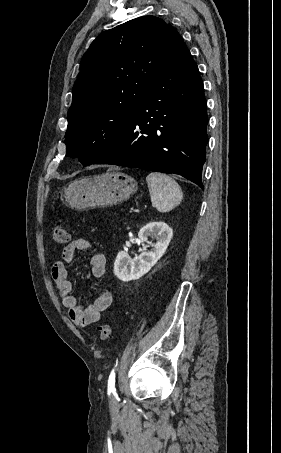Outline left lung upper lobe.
Listing matches in <instances>:
<instances>
[{
  "mask_svg": "<svg viewBox=\"0 0 281 453\" xmlns=\"http://www.w3.org/2000/svg\"><path fill=\"white\" fill-rule=\"evenodd\" d=\"M177 36L162 19L143 16L92 42L73 87L66 156L88 166L109 149L162 69Z\"/></svg>",
  "mask_w": 281,
  "mask_h": 453,
  "instance_id": "left-lung-upper-lobe-1",
  "label": "left lung upper lobe"
}]
</instances>
